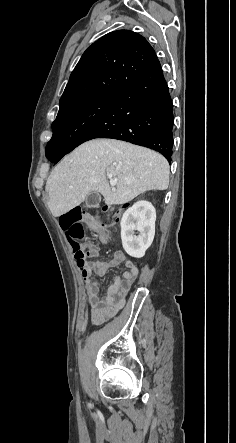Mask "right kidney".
Returning a JSON list of instances; mask_svg holds the SVG:
<instances>
[{"label": "right kidney", "mask_w": 236, "mask_h": 443, "mask_svg": "<svg viewBox=\"0 0 236 443\" xmlns=\"http://www.w3.org/2000/svg\"><path fill=\"white\" fill-rule=\"evenodd\" d=\"M155 221V208L148 201H137L125 211L121 219V240L127 254L135 258L145 255L154 239Z\"/></svg>", "instance_id": "1"}]
</instances>
